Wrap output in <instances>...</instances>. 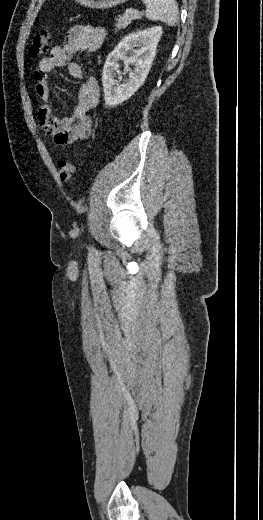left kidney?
<instances>
[{"instance_id": "obj_1", "label": "left kidney", "mask_w": 263, "mask_h": 520, "mask_svg": "<svg viewBox=\"0 0 263 520\" xmlns=\"http://www.w3.org/2000/svg\"><path fill=\"white\" fill-rule=\"evenodd\" d=\"M162 35L161 27L133 32L122 39L118 46L108 55L102 72L105 105L115 107L129 99L144 83ZM137 47L138 49H134ZM131 56L128 57V53ZM124 61V71H129V79L124 84L115 80L119 61ZM130 66L134 70H130Z\"/></svg>"}]
</instances>
